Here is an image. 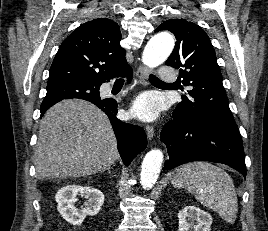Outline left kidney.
I'll return each mask as SVG.
<instances>
[{
    "label": "left kidney",
    "mask_w": 268,
    "mask_h": 231,
    "mask_svg": "<svg viewBox=\"0 0 268 231\" xmlns=\"http://www.w3.org/2000/svg\"><path fill=\"white\" fill-rule=\"evenodd\" d=\"M178 231H210L212 216L196 206H185L178 213Z\"/></svg>",
    "instance_id": "5707ae66"
}]
</instances>
